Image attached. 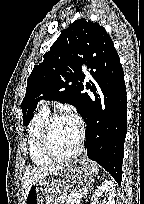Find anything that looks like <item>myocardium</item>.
<instances>
[{
  "label": "myocardium",
  "instance_id": "1",
  "mask_svg": "<svg viewBox=\"0 0 144 204\" xmlns=\"http://www.w3.org/2000/svg\"><path fill=\"white\" fill-rule=\"evenodd\" d=\"M66 117L73 118L78 123L79 140L77 143V147L73 152L62 155V154H58L52 147L51 132H52L54 123L58 119L66 118ZM84 141H85V128L82 121L79 118L64 112H57L49 115V117L45 122V125L42 130V134H41V147L45 155H47L49 158L56 161H65V160L73 159L78 155H80V153L83 151Z\"/></svg>",
  "mask_w": 144,
  "mask_h": 204
}]
</instances>
